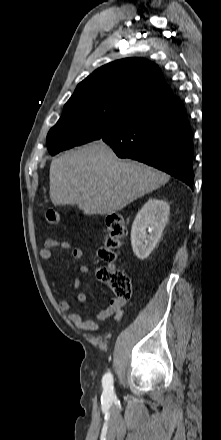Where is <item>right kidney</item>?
Instances as JSON below:
<instances>
[{"instance_id": "obj_1", "label": "right kidney", "mask_w": 221, "mask_h": 440, "mask_svg": "<svg viewBox=\"0 0 221 440\" xmlns=\"http://www.w3.org/2000/svg\"><path fill=\"white\" fill-rule=\"evenodd\" d=\"M169 212L167 202L149 199L137 213L131 230V244L138 259H146L158 243L168 222Z\"/></svg>"}]
</instances>
